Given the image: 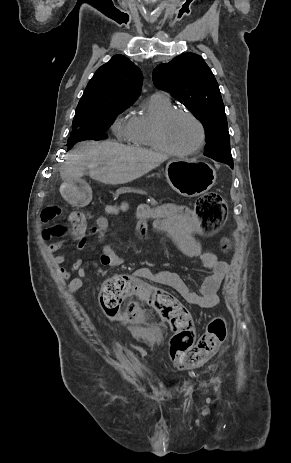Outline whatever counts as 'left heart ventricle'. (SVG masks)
Wrapping results in <instances>:
<instances>
[{"mask_svg":"<svg viewBox=\"0 0 291 463\" xmlns=\"http://www.w3.org/2000/svg\"><path fill=\"white\" fill-rule=\"evenodd\" d=\"M199 128L186 116H178L171 120L165 129V138L176 150H188L199 141Z\"/></svg>","mask_w":291,"mask_h":463,"instance_id":"1","label":"left heart ventricle"}]
</instances>
